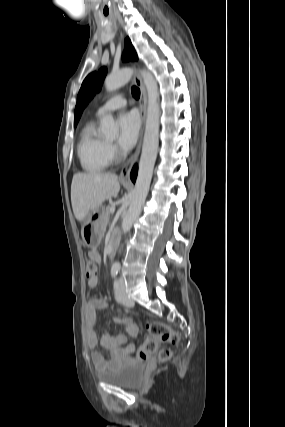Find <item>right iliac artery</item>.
<instances>
[{"instance_id":"82829eb1","label":"right iliac artery","mask_w":285,"mask_h":427,"mask_svg":"<svg viewBox=\"0 0 285 427\" xmlns=\"http://www.w3.org/2000/svg\"><path fill=\"white\" fill-rule=\"evenodd\" d=\"M118 271H119L118 267H112L111 268V275H112V277H115L117 275Z\"/></svg>"}]
</instances>
